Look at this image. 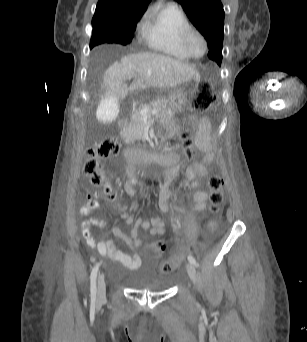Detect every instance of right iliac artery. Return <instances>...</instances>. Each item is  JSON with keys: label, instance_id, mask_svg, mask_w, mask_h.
Masks as SVG:
<instances>
[{"label": "right iliac artery", "instance_id": "right-iliac-artery-1", "mask_svg": "<svg viewBox=\"0 0 307 342\" xmlns=\"http://www.w3.org/2000/svg\"><path fill=\"white\" fill-rule=\"evenodd\" d=\"M100 264H96V266L92 269L91 275H90V291H91V297L93 299L92 303L94 304V299H96V278L98 274Z\"/></svg>", "mask_w": 307, "mask_h": 342}]
</instances>
